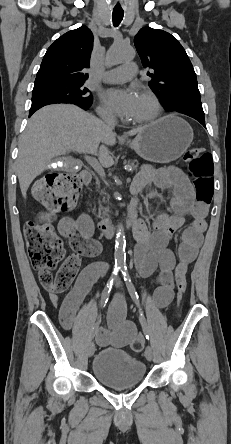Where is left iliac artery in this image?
<instances>
[{
  "mask_svg": "<svg viewBox=\"0 0 231 444\" xmlns=\"http://www.w3.org/2000/svg\"><path fill=\"white\" fill-rule=\"evenodd\" d=\"M126 270H127L126 267L122 268V270H121L122 274H123L124 281L126 283V286H127V289L129 291L130 296L132 297V299L135 302V304L139 307V296H138V294L136 292V289L134 287V284L131 281V278H130V276H129V274H128V272ZM139 319H140V323L142 325L145 337L149 341L150 340V334H149V330H148V326H147L145 317H144V315L142 313H140V318Z\"/></svg>",
  "mask_w": 231,
  "mask_h": 444,
  "instance_id": "obj_1",
  "label": "left iliac artery"
}]
</instances>
